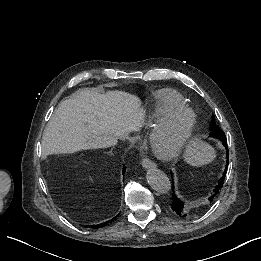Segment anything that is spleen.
<instances>
[{"instance_id": "spleen-1", "label": "spleen", "mask_w": 261, "mask_h": 261, "mask_svg": "<svg viewBox=\"0 0 261 261\" xmlns=\"http://www.w3.org/2000/svg\"><path fill=\"white\" fill-rule=\"evenodd\" d=\"M214 158V152L211 146L198 143L196 141L191 142L188 145L185 153V159L189 164L198 166L200 164H207Z\"/></svg>"}]
</instances>
